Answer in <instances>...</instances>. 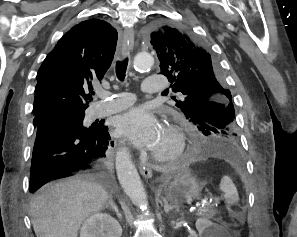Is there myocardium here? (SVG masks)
I'll use <instances>...</instances> for the list:
<instances>
[{"label": "myocardium", "instance_id": "1", "mask_svg": "<svg viewBox=\"0 0 297 237\" xmlns=\"http://www.w3.org/2000/svg\"><path fill=\"white\" fill-rule=\"evenodd\" d=\"M167 133L173 140V148L163 153H151V158L160 164L171 163L181 158L186 151L187 138L181 125L168 123L165 127Z\"/></svg>", "mask_w": 297, "mask_h": 237}]
</instances>
